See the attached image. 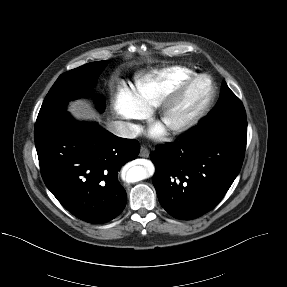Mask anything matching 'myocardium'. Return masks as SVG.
<instances>
[{"mask_svg":"<svg viewBox=\"0 0 287 287\" xmlns=\"http://www.w3.org/2000/svg\"><path fill=\"white\" fill-rule=\"evenodd\" d=\"M200 80H206L209 85V91L204 101L188 115L177 121H171L170 116L173 111L179 106L188 90ZM216 93V85L209 75L195 73L185 79L158 106L157 122L170 134H183L196 126L206 116L215 101Z\"/></svg>","mask_w":287,"mask_h":287,"instance_id":"myocardium-1","label":"myocardium"}]
</instances>
